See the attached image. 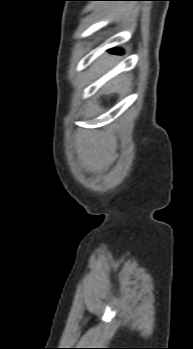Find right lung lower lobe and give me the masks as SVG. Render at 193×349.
Returning a JSON list of instances; mask_svg holds the SVG:
<instances>
[{
	"mask_svg": "<svg viewBox=\"0 0 193 349\" xmlns=\"http://www.w3.org/2000/svg\"><path fill=\"white\" fill-rule=\"evenodd\" d=\"M111 52L118 53V54L122 53V51L120 49H113V50H111Z\"/></svg>",
	"mask_w": 193,
	"mask_h": 349,
	"instance_id": "98d812e1",
	"label": "right lung lower lobe"
}]
</instances>
